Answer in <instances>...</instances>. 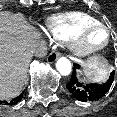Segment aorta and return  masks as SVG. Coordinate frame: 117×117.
Returning <instances> with one entry per match:
<instances>
[{"instance_id":"1","label":"aorta","mask_w":117,"mask_h":117,"mask_svg":"<svg viewBox=\"0 0 117 117\" xmlns=\"http://www.w3.org/2000/svg\"><path fill=\"white\" fill-rule=\"evenodd\" d=\"M56 68L61 75L67 76L71 73L72 66L67 58L61 57L56 62Z\"/></svg>"}]
</instances>
